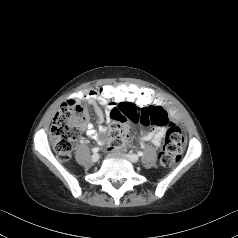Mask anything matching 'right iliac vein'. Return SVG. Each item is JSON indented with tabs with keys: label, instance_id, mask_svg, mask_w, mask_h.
<instances>
[{
	"label": "right iliac vein",
	"instance_id": "obj_1",
	"mask_svg": "<svg viewBox=\"0 0 238 238\" xmlns=\"http://www.w3.org/2000/svg\"><path fill=\"white\" fill-rule=\"evenodd\" d=\"M99 158H100L99 154L95 153L92 155L91 160L92 162H97Z\"/></svg>",
	"mask_w": 238,
	"mask_h": 238
}]
</instances>
